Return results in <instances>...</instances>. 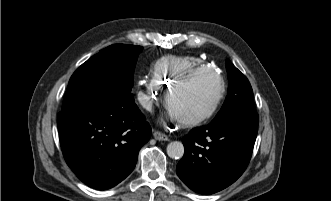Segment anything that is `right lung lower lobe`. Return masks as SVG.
Here are the masks:
<instances>
[{
    "instance_id": "obj_1",
    "label": "right lung lower lobe",
    "mask_w": 331,
    "mask_h": 201,
    "mask_svg": "<svg viewBox=\"0 0 331 201\" xmlns=\"http://www.w3.org/2000/svg\"><path fill=\"white\" fill-rule=\"evenodd\" d=\"M58 129L68 166L99 190L114 187L133 171L140 148L151 136L131 93L61 111Z\"/></svg>"
}]
</instances>
